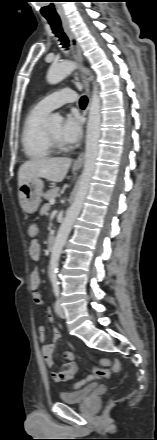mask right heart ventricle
Listing matches in <instances>:
<instances>
[{
	"label": "right heart ventricle",
	"instance_id": "e07e8e85",
	"mask_svg": "<svg viewBox=\"0 0 157 440\" xmlns=\"http://www.w3.org/2000/svg\"><path fill=\"white\" fill-rule=\"evenodd\" d=\"M47 113L34 107L25 117L21 141L25 154L30 158H43L53 153V147L46 136L44 121Z\"/></svg>",
	"mask_w": 157,
	"mask_h": 440
}]
</instances>
